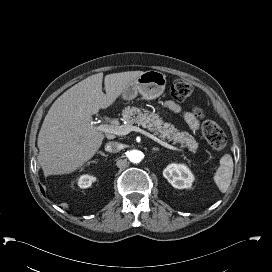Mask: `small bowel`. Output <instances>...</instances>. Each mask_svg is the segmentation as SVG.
Listing matches in <instances>:
<instances>
[{
    "instance_id": "1",
    "label": "small bowel",
    "mask_w": 272,
    "mask_h": 272,
    "mask_svg": "<svg viewBox=\"0 0 272 272\" xmlns=\"http://www.w3.org/2000/svg\"><path fill=\"white\" fill-rule=\"evenodd\" d=\"M165 106L169 110H171L173 112L178 113L180 111V107L176 103H174L173 101H167L165 103ZM183 116H184V119H185L186 123L189 125V127L192 130H197L198 129L199 122H198L197 118L194 116L193 113H191V112H184Z\"/></svg>"
}]
</instances>
